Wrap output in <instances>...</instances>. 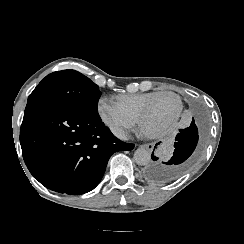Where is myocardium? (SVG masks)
Returning <instances> with one entry per match:
<instances>
[{"instance_id":"1","label":"myocardium","mask_w":244,"mask_h":244,"mask_svg":"<svg viewBox=\"0 0 244 244\" xmlns=\"http://www.w3.org/2000/svg\"><path fill=\"white\" fill-rule=\"evenodd\" d=\"M163 95H171L174 96L177 100H178V106L176 108V110L170 115V117L167 120H162L161 116H159V122L158 124L164 126V125H170L173 123V121L175 120L176 116L180 113L182 106H183V102H182V98L175 92L172 91H166L163 92L161 94H155L153 95V99H150L149 101L146 102L145 106H142L141 112L139 114V119L140 122H142V129L144 130H152L153 127L149 126L146 122V111L147 109H150V107H152V105L156 104V100L162 99Z\"/></svg>"}]
</instances>
